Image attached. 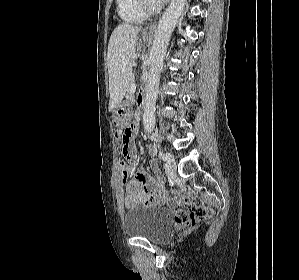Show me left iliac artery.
Returning a JSON list of instances; mask_svg holds the SVG:
<instances>
[{"label": "left iliac artery", "mask_w": 299, "mask_h": 280, "mask_svg": "<svg viewBox=\"0 0 299 280\" xmlns=\"http://www.w3.org/2000/svg\"><path fill=\"white\" fill-rule=\"evenodd\" d=\"M159 156L163 161H167L171 157L170 153H162V152L159 153Z\"/></svg>", "instance_id": "44dca946"}]
</instances>
